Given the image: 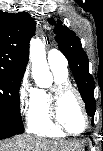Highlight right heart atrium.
<instances>
[{
    "mask_svg": "<svg viewBox=\"0 0 103 151\" xmlns=\"http://www.w3.org/2000/svg\"><path fill=\"white\" fill-rule=\"evenodd\" d=\"M32 96V89L29 86L27 77L24 76L19 84L17 97L18 104L21 111H23L27 105L30 104Z\"/></svg>",
    "mask_w": 103,
    "mask_h": 151,
    "instance_id": "obj_1",
    "label": "right heart atrium"
}]
</instances>
